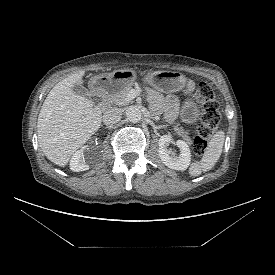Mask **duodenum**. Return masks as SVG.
I'll use <instances>...</instances> for the list:
<instances>
[{"instance_id":"duodenum-1","label":"duodenum","mask_w":275,"mask_h":275,"mask_svg":"<svg viewBox=\"0 0 275 275\" xmlns=\"http://www.w3.org/2000/svg\"><path fill=\"white\" fill-rule=\"evenodd\" d=\"M97 97L100 100L101 109L105 110L107 108V102H106L105 95L102 92L98 91L97 92Z\"/></svg>"}]
</instances>
